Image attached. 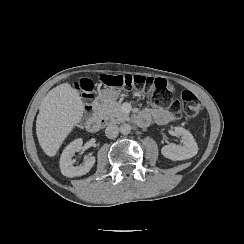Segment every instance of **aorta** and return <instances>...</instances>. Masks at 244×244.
Listing matches in <instances>:
<instances>
[{
    "label": "aorta",
    "mask_w": 244,
    "mask_h": 244,
    "mask_svg": "<svg viewBox=\"0 0 244 244\" xmlns=\"http://www.w3.org/2000/svg\"><path fill=\"white\" fill-rule=\"evenodd\" d=\"M120 132L123 135H128L131 132V126L129 124H122L120 126Z\"/></svg>",
    "instance_id": "obj_1"
}]
</instances>
